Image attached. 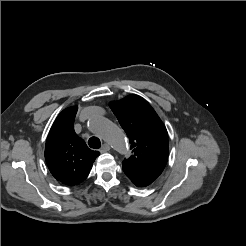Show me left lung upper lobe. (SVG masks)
Instances as JSON below:
<instances>
[{"label": "left lung upper lobe", "instance_id": "1", "mask_svg": "<svg viewBox=\"0 0 246 246\" xmlns=\"http://www.w3.org/2000/svg\"><path fill=\"white\" fill-rule=\"evenodd\" d=\"M110 108L125 130L133 153L122 162L124 172L152 183L162 173L168 158L164 124L150 104L135 94L110 102Z\"/></svg>", "mask_w": 246, "mask_h": 246}]
</instances>
